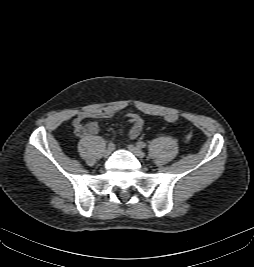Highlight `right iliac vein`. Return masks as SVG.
<instances>
[{"instance_id":"right-iliac-vein-1","label":"right iliac vein","mask_w":254,"mask_h":267,"mask_svg":"<svg viewBox=\"0 0 254 267\" xmlns=\"http://www.w3.org/2000/svg\"><path fill=\"white\" fill-rule=\"evenodd\" d=\"M114 150V147H107L105 150H104V152H103V156L104 157H108L111 153H112V151Z\"/></svg>"}]
</instances>
